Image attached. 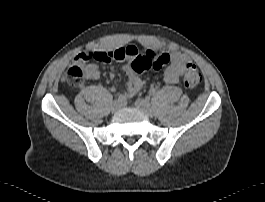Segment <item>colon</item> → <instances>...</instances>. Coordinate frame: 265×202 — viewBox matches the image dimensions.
I'll return each instance as SVG.
<instances>
[{"mask_svg": "<svg viewBox=\"0 0 265 202\" xmlns=\"http://www.w3.org/2000/svg\"><path fill=\"white\" fill-rule=\"evenodd\" d=\"M129 56V53L123 49L110 51L106 53H86L87 59H96L100 62L121 61ZM170 58L167 53H155L148 51L144 55L136 56L131 63V68L134 73L140 74L148 70H162L169 62ZM85 80L84 68L81 64L69 66L63 77V81L71 86H80ZM202 82V74L193 63L186 65L183 74V83L187 88H195Z\"/></svg>", "mask_w": 265, "mask_h": 202, "instance_id": "obj_1", "label": "colon"}]
</instances>
